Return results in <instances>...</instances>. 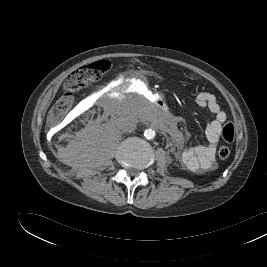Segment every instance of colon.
<instances>
[{
	"instance_id": "colon-1",
	"label": "colon",
	"mask_w": 267,
	"mask_h": 267,
	"mask_svg": "<svg viewBox=\"0 0 267 267\" xmlns=\"http://www.w3.org/2000/svg\"><path fill=\"white\" fill-rule=\"evenodd\" d=\"M110 63L106 60L97 61L89 65H84L74 70L65 80L64 94L56 101L49 114L51 124L59 123L65 114L71 109L74 101V92L82 89L87 84L97 81L108 71ZM222 137L226 142H232L235 138V128L232 123H226L222 129ZM231 153L227 145H222L218 149V156L226 159Z\"/></svg>"
}]
</instances>
